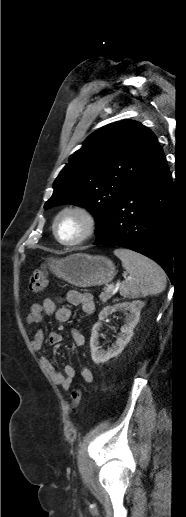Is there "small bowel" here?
Here are the masks:
<instances>
[{
    "label": "small bowel",
    "mask_w": 186,
    "mask_h": 517,
    "mask_svg": "<svg viewBox=\"0 0 186 517\" xmlns=\"http://www.w3.org/2000/svg\"><path fill=\"white\" fill-rule=\"evenodd\" d=\"M65 300L71 305L80 306L82 312L86 315L92 314L95 310L93 296L90 293L70 291L66 294ZM45 314H54L58 322L64 323L71 319L72 311L70 308L65 306L57 308L55 299L52 297H46L43 299L42 303H36L31 306L30 312L26 318V322L28 324L40 323ZM71 336L76 347L82 346L84 344V336L80 331L73 329ZM61 341L62 336L60 333L55 331L49 333L48 343L50 345H57ZM43 342L44 332L41 329H38L32 338L31 343L33 349L38 352L41 351L43 348ZM40 362L55 385L60 386L64 391H68L70 389L72 380L76 374L75 368L72 365H65L64 371L61 372L55 368L53 362L47 356H41ZM81 377L85 383H90L93 380V374L91 370L86 367L81 369Z\"/></svg>",
    "instance_id": "small-bowel-1"
}]
</instances>
